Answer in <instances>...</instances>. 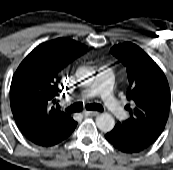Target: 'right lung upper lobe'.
I'll list each match as a JSON object with an SVG mask.
<instances>
[{"label":"right lung upper lobe","mask_w":173,"mask_h":170,"mask_svg":"<svg viewBox=\"0 0 173 170\" xmlns=\"http://www.w3.org/2000/svg\"><path fill=\"white\" fill-rule=\"evenodd\" d=\"M86 51L87 47L77 41L58 38L37 46L17 68L10 87V104L17 126L28 140L48 136L73 121L55 107L59 76Z\"/></svg>","instance_id":"right-lung-upper-lobe-1"}]
</instances>
